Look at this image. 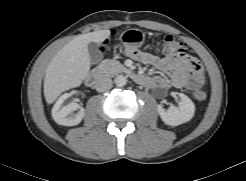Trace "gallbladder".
<instances>
[{
  "label": "gallbladder",
  "mask_w": 246,
  "mask_h": 181,
  "mask_svg": "<svg viewBox=\"0 0 246 181\" xmlns=\"http://www.w3.org/2000/svg\"><path fill=\"white\" fill-rule=\"evenodd\" d=\"M88 52H89V56H90V61L92 63L99 62L103 56L101 48L95 43H90L88 45Z\"/></svg>",
  "instance_id": "gallbladder-1"
}]
</instances>
